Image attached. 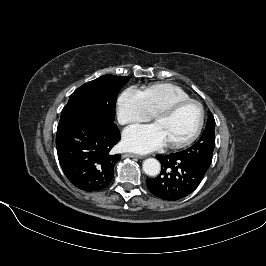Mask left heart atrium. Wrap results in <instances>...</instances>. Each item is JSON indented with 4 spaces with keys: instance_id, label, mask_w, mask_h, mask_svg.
<instances>
[{
    "instance_id": "39dd6f15",
    "label": "left heart atrium",
    "mask_w": 266,
    "mask_h": 266,
    "mask_svg": "<svg viewBox=\"0 0 266 266\" xmlns=\"http://www.w3.org/2000/svg\"><path fill=\"white\" fill-rule=\"evenodd\" d=\"M123 142L127 149L141 153L155 150L166 144L155 124L127 128L123 133Z\"/></svg>"
}]
</instances>
